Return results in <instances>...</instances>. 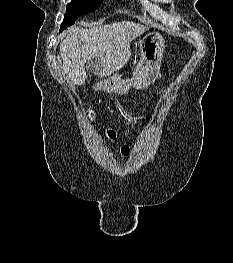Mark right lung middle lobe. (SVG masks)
I'll return each mask as SVG.
<instances>
[{
	"label": "right lung middle lobe",
	"mask_w": 233,
	"mask_h": 263,
	"mask_svg": "<svg viewBox=\"0 0 233 263\" xmlns=\"http://www.w3.org/2000/svg\"><path fill=\"white\" fill-rule=\"evenodd\" d=\"M102 1L103 0H72V2L67 5L66 14L60 30L62 31L64 28H67V26L72 25L79 16L97 9Z\"/></svg>",
	"instance_id": "right-lung-middle-lobe-1"
}]
</instances>
